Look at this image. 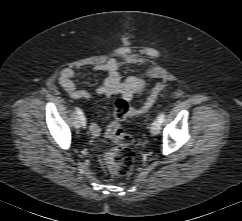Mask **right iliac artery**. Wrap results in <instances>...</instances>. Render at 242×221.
Returning a JSON list of instances; mask_svg holds the SVG:
<instances>
[{
	"label": "right iliac artery",
	"mask_w": 242,
	"mask_h": 221,
	"mask_svg": "<svg viewBox=\"0 0 242 221\" xmlns=\"http://www.w3.org/2000/svg\"><path fill=\"white\" fill-rule=\"evenodd\" d=\"M75 112H76L77 116L80 118L82 125L86 126V119H85V116H84L82 110L78 107H75Z\"/></svg>",
	"instance_id": "82829eb1"
}]
</instances>
